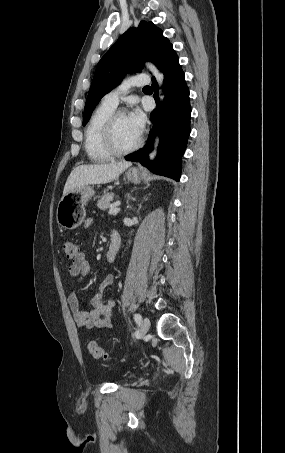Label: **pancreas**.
Wrapping results in <instances>:
<instances>
[{"label": "pancreas", "mask_w": 285, "mask_h": 453, "mask_svg": "<svg viewBox=\"0 0 285 453\" xmlns=\"http://www.w3.org/2000/svg\"><path fill=\"white\" fill-rule=\"evenodd\" d=\"M113 193H105L97 202V206L101 210H106L110 207V201L113 199Z\"/></svg>", "instance_id": "cf45deb5"}]
</instances>
